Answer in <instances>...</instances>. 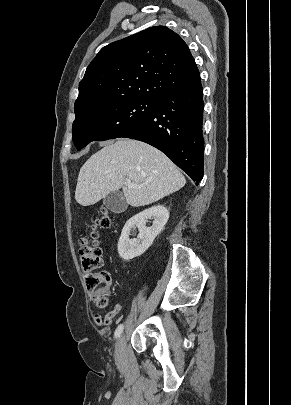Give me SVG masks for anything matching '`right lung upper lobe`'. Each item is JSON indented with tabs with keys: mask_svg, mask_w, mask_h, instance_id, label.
<instances>
[{
	"mask_svg": "<svg viewBox=\"0 0 291 405\" xmlns=\"http://www.w3.org/2000/svg\"><path fill=\"white\" fill-rule=\"evenodd\" d=\"M200 77L182 38L155 26L103 47L79 84L75 112L125 97L156 99Z\"/></svg>",
	"mask_w": 291,
	"mask_h": 405,
	"instance_id": "right-lung-upper-lobe-1",
	"label": "right lung upper lobe"
}]
</instances>
